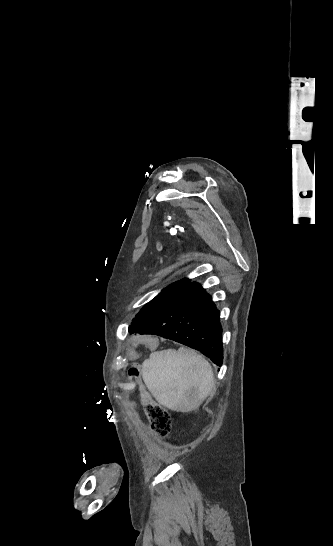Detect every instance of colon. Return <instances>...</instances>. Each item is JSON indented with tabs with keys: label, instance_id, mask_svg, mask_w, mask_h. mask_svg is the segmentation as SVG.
Segmentation results:
<instances>
[{
	"label": "colon",
	"instance_id": "1",
	"mask_svg": "<svg viewBox=\"0 0 333 546\" xmlns=\"http://www.w3.org/2000/svg\"><path fill=\"white\" fill-rule=\"evenodd\" d=\"M127 383H136V387L139 390V394L145 403V414L149 421L151 430L160 437H166L171 430L172 419L171 415L166 408L159 403L153 401V396L150 393V389L144 380H139L141 377V368L135 365L133 359L126 361Z\"/></svg>",
	"mask_w": 333,
	"mask_h": 546
}]
</instances>
